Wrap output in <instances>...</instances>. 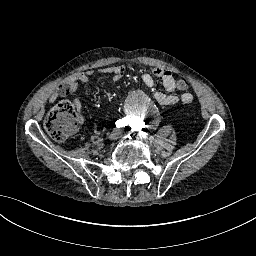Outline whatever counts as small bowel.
<instances>
[{
  "label": "small bowel",
  "mask_w": 256,
  "mask_h": 256,
  "mask_svg": "<svg viewBox=\"0 0 256 256\" xmlns=\"http://www.w3.org/2000/svg\"><path fill=\"white\" fill-rule=\"evenodd\" d=\"M125 67L123 65L105 67L99 69L97 72L102 75H110L113 81L118 82L120 81L125 75ZM94 74L93 71H85L79 72L77 74L72 75L67 80V85L70 89V92H75L77 90V86L79 83H88ZM141 79L143 83L148 87H153L155 85V79L161 80L163 87L165 88L166 92L157 91L154 94V98L160 105L168 106L175 104L179 98L178 96L172 94L176 90L183 91L180 96V100L184 104H189L193 101V94L186 89H182L179 86L181 80L177 81L173 75V73L163 67H155L152 69L151 72H146L141 75ZM58 98V93L53 92L50 96L51 101H55ZM73 104L77 109L76 114L79 117V122H84V114L82 109L81 101L78 98L73 99Z\"/></svg>",
  "instance_id": "obj_1"
}]
</instances>
